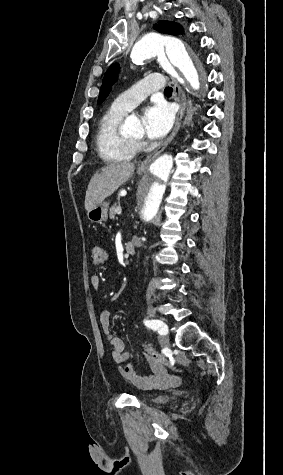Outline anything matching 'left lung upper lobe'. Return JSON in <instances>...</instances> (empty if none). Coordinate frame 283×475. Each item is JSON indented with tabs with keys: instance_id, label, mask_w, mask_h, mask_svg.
Returning a JSON list of instances; mask_svg holds the SVG:
<instances>
[{
	"instance_id": "1",
	"label": "left lung upper lobe",
	"mask_w": 283,
	"mask_h": 475,
	"mask_svg": "<svg viewBox=\"0 0 283 475\" xmlns=\"http://www.w3.org/2000/svg\"><path fill=\"white\" fill-rule=\"evenodd\" d=\"M154 29L165 34L178 35L183 32V28L175 22L171 21H159L158 24L154 25ZM119 72V65L113 64L107 70L103 81L98 98L97 104L102 103L112 89V85L117 81V74Z\"/></svg>"
}]
</instances>
